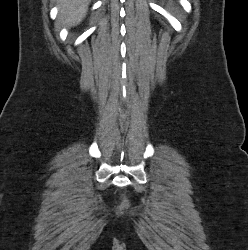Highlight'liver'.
Here are the masks:
<instances>
[{"instance_id":"liver-1","label":"liver","mask_w":248,"mask_h":250,"mask_svg":"<svg viewBox=\"0 0 248 250\" xmlns=\"http://www.w3.org/2000/svg\"><path fill=\"white\" fill-rule=\"evenodd\" d=\"M90 0H57L60 6L59 20L73 26L82 21L87 13Z\"/></svg>"}]
</instances>
